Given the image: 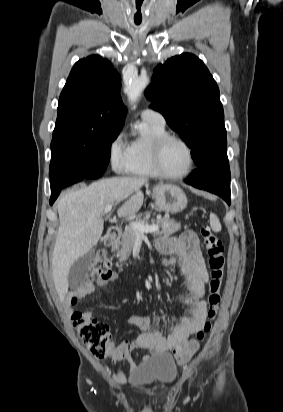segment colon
<instances>
[{
    "label": "colon",
    "instance_id": "colon-1",
    "mask_svg": "<svg viewBox=\"0 0 283 412\" xmlns=\"http://www.w3.org/2000/svg\"><path fill=\"white\" fill-rule=\"evenodd\" d=\"M203 244L208 253V267L210 270V278L208 282V311L207 322L203 328L195 333L194 337L181 348L180 353H186L194 350L206 335L210 332L212 321L215 319L219 303L220 291L224 277V269L226 264L225 250L222 241L208 227L201 229ZM112 275L111 261L106 252L99 249L92 259L91 270L89 274L90 280L107 279ZM76 298L72 299V303H76ZM71 321L77 334L83 344L88 348L90 353L102 358L107 353V345L111 338L110 330L107 324L98 321L92 315L86 312L74 311L71 314Z\"/></svg>",
    "mask_w": 283,
    "mask_h": 412
}]
</instances>
